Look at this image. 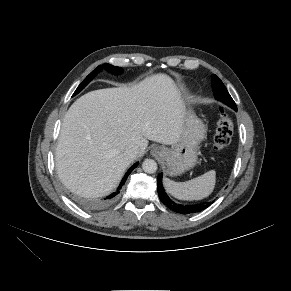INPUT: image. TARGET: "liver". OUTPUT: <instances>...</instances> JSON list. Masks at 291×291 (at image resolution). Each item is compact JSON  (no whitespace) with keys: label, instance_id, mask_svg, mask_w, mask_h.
Returning <instances> with one entry per match:
<instances>
[{"label":"liver","instance_id":"6515ba94","mask_svg":"<svg viewBox=\"0 0 291 291\" xmlns=\"http://www.w3.org/2000/svg\"><path fill=\"white\" fill-rule=\"evenodd\" d=\"M185 115L181 93L165 74L131 87L88 92L64 116L55 158L58 176L78 195H106L145 153L148 140L179 141ZM133 145L139 152L130 160L124 152Z\"/></svg>","mask_w":291,"mask_h":291}]
</instances>
